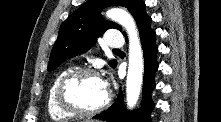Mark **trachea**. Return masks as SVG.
Listing matches in <instances>:
<instances>
[{"instance_id": "1", "label": "trachea", "mask_w": 221, "mask_h": 122, "mask_svg": "<svg viewBox=\"0 0 221 122\" xmlns=\"http://www.w3.org/2000/svg\"><path fill=\"white\" fill-rule=\"evenodd\" d=\"M114 51H119L118 49H114Z\"/></svg>"}]
</instances>
